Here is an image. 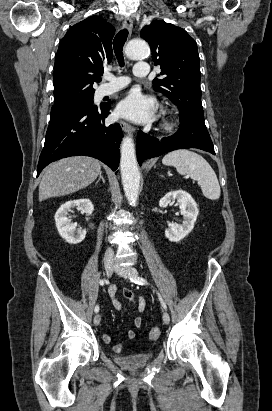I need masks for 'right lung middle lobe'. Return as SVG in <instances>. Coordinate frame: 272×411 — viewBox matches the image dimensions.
I'll return each instance as SVG.
<instances>
[{
    "label": "right lung middle lobe",
    "instance_id": "1",
    "mask_svg": "<svg viewBox=\"0 0 272 411\" xmlns=\"http://www.w3.org/2000/svg\"><path fill=\"white\" fill-rule=\"evenodd\" d=\"M94 91H79L71 98L60 103H54L51 109V116L59 115L70 110L93 104Z\"/></svg>",
    "mask_w": 272,
    "mask_h": 411
}]
</instances>
